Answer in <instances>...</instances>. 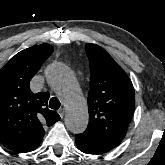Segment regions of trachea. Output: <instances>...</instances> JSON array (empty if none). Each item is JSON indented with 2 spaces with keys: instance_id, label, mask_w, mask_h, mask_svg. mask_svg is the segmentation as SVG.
Masks as SVG:
<instances>
[{
  "instance_id": "3493384b",
  "label": "trachea",
  "mask_w": 165,
  "mask_h": 165,
  "mask_svg": "<svg viewBox=\"0 0 165 165\" xmlns=\"http://www.w3.org/2000/svg\"><path fill=\"white\" fill-rule=\"evenodd\" d=\"M60 101L57 99V98H55V97H52L51 99H50V101H49V107L51 108V109H59L60 108Z\"/></svg>"
}]
</instances>
